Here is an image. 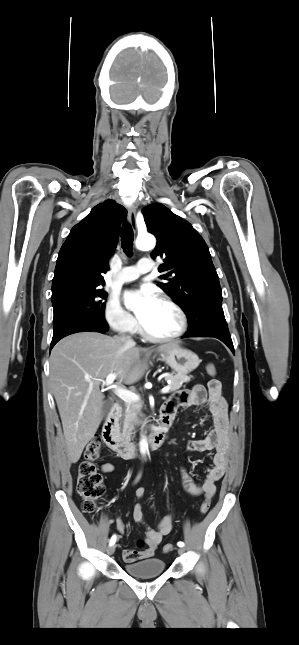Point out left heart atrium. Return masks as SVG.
Segmentation results:
<instances>
[{
	"label": "left heart atrium",
	"mask_w": 299,
	"mask_h": 645,
	"mask_svg": "<svg viewBox=\"0 0 299 645\" xmlns=\"http://www.w3.org/2000/svg\"><path fill=\"white\" fill-rule=\"evenodd\" d=\"M129 295L137 297L140 302L138 311V318L140 322H142V320L148 315V313L156 306L159 301L154 291L149 287H142L141 289L136 290Z\"/></svg>",
	"instance_id": "obj_1"
}]
</instances>
